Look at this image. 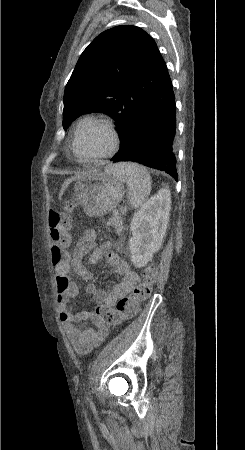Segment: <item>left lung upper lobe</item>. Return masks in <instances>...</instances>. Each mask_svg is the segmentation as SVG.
<instances>
[{"label":"left lung upper lobe","mask_w":245,"mask_h":450,"mask_svg":"<svg viewBox=\"0 0 245 450\" xmlns=\"http://www.w3.org/2000/svg\"><path fill=\"white\" fill-rule=\"evenodd\" d=\"M167 72L155 41L139 27L101 33L83 51L66 85L64 129L84 113L104 112L116 121L122 149Z\"/></svg>","instance_id":"left-lung-upper-lobe-1"}]
</instances>
